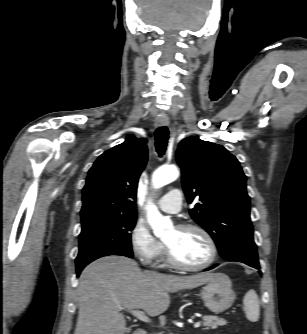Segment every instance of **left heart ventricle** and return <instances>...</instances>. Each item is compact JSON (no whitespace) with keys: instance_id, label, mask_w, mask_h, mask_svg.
Segmentation results:
<instances>
[{"instance_id":"b2bd125f","label":"left heart ventricle","mask_w":307,"mask_h":334,"mask_svg":"<svg viewBox=\"0 0 307 334\" xmlns=\"http://www.w3.org/2000/svg\"><path fill=\"white\" fill-rule=\"evenodd\" d=\"M164 241L175 257L187 265H199L210 256L207 241L195 230L171 229Z\"/></svg>"}]
</instances>
